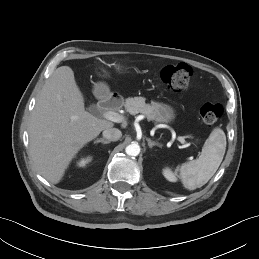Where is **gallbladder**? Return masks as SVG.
Returning <instances> with one entry per match:
<instances>
[{"label": "gallbladder", "instance_id": "1", "mask_svg": "<svg viewBox=\"0 0 259 259\" xmlns=\"http://www.w3.org/2000/svg\"><path fill=\"white\" fill-rule=\"evenodd\" d=\"M94 109H95V105H94V104L90 105L89 110H90L91 112H93Z\"/></svg>", "mask_w": 259, "mask_h": 259}]
</instances>
